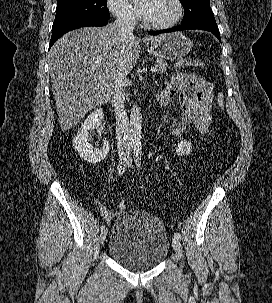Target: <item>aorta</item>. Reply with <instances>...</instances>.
Listing matches in <instances>:
<instances>
[{"label": "aorta", "mask_w": 272, "mask_h": 303, "mask_svg": "<svg viewBox=\"0 0 272 303\" xmlns=\"http://www.w3.org/2000/svg\"><path fill=\"white\" fill-rule=\"evenodd\" d=\"M129 129L131 144L133 146L141 145L142 114L136 104L131 108Z\"/></svg>", "instance_id": "aorta-1"}]
</instances>
